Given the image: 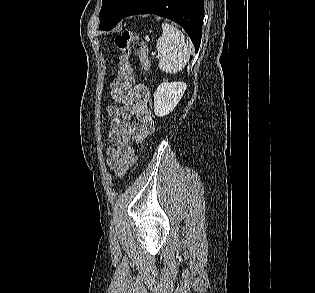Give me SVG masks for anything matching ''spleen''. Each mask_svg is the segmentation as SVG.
<instances>
[{
    "instance_id": "1",
    "label": "spleen",
    "mask_w": 315,
    "mask_h": 293,
    "mask_svg": "<svg viewBox=\"0 0 315 293\" xmlns=\"http://www.w3.org/2000/svg\"><path fill=\"white\" fill-rule=\"evenodd\" d=\"M162 29V36L156 43V49L160 54L159 68L166 73H177L189 61L191 45L176 27L162 23Z\"/></svg>"
}]
</instances>
